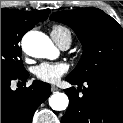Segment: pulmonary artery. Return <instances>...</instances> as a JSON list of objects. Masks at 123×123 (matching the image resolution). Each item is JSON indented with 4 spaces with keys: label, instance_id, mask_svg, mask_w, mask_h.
I'll return each instance as SVG.
<instances>
[{
    "label": "pulmonary artery",
    "instance_id": "e3ab8cb5",
    "mask_svg": "<svg viewBox=\"0 0 123 123\" xmlns=\"http://www.w3.org/2000/svg\"><path fill=\"white\" fill-rule=\"evenodd\" d=\"M53 40L59 45L61 49H68L71 44V38L67 35L58 36L51 33Z\"/></svg>",
    "mask_w": 123,
    "mask_h": 123
}]
</instances>
